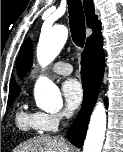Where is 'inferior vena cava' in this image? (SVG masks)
Returning <instances> with one entry per match:
<instances>
[{"instance_id":"602c4592","label":"inferior vena cava","mask_w":123,"mask_h":152,"mask_svg":"<svg viewBox=\"0 0 123 152\" xmlns=\"http://www.w3.org/2000/svg\"><path fill=\"white\" fill-rule=\"evenodd\" d=\"M62 115L68 118L70 116V113L68 111H66V112H63ZM61 139H63V138H61Z\"/></svg>"}]
</instances>
